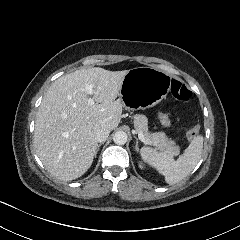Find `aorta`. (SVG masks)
Listing matches in <instances>:
<instances>
[{"mask_svg": "<svg viewBox=\"0 0 240 240\" xmlns=\"http://www.w3.org/2000/svg\"><path fill=\"white\" fill-rule=\"evenodd\" d=\"M113 141L117 145H123L127 142V133L124 131H117L113 136Z\"/></svg>", "mask_w": 240, "mask_h": 240, "instance_id": "aorta-1", "label": "aorta"}]
</instances>
